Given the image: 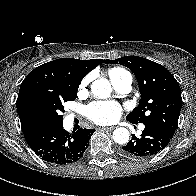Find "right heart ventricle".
<instances>
[{
    "instance_id": "1",
    "label": "right heart ventricle",
    "mask_w": 196,
    "mask_h": 196,
    "mask_svg": "<svg viewBox=\"0 0 196 196\" xmlns=\"http://www.w3.org/2000/svg\"><path fill=\"white\" fill-rule=\"evenodd\" d=\"M127 74H128V72L126 70L121 69V68H117V67L111 68L108 71V75H109L112 83L121 79L122 77H124Z\"/></svg>"
}]
</instances>
